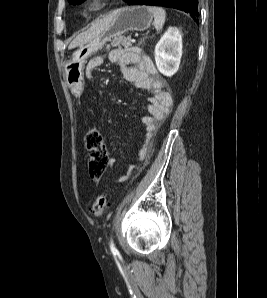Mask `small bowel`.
<instances>
[{
    "mask_svg": "<svg viewBox=\"0 0 267 298\" xmlns=\"http://www.w3.org/2000/svg\"><path fill=\"white\" fill-rule=\"evenodd\" d=\"M109 60L116 63L122 72L123 77L138 88L151 91L148 97V115L143 118V125L146 130V140L140 148V156L146 155L147 148L152 137L162 124L172 107V97L166 90V83L157 73V69L147 55L138 48H117L109 53ZM103 58L95 57L88 62L87 78L94 79V72L102 65ZM114 159H110L113 164ZM126 176H120L119 182H123Z\"/></svg>",
    "mask_w": 267,
    "mask_h": 298,
    "instance_id": "obj_1",
    "label": "small bowel"
}]
</instances>
